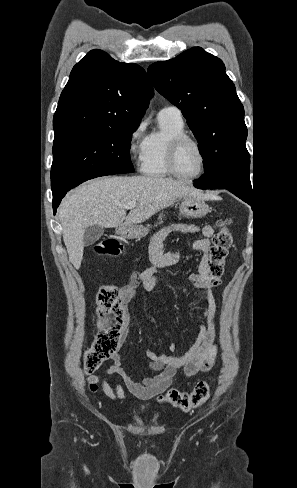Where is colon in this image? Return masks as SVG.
<instances>
[{
  "mask_svg": "<svg viewBox=\"0 0 297 488\" xmlns=\"http://www.w3.org/2000/svg\"><path fill=\"white\" fill-rule=\"evenodd\" d=\"M229 225L230 219L228 218L220 219L217 222L218 231L213 237V245L208 258L209 276L216 282H220L222 278L225 261L232 244ZM95 251L101 255L116 257L122 253L123 247L118 240L106 238L96 244ZM96 305L101 330L84 354V370L87 374L94 372L118 350L125 327V311L114 287L101 288L96 296ZM210 393V383L200 381L190 392L170 389L166 394L160 396L159 400L174 408L188 411L206 402Z\"/></svg>",
  "mask_w": 297,
  "mask_h": 488,
  "instance_id": "colon-1",
  "label": "colon"
}]
</instances>
